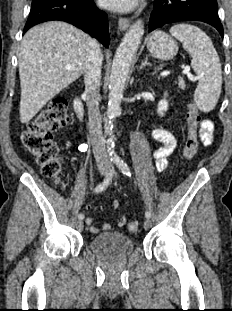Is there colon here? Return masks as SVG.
<instances>
[{"label": "colon", "mask_w": 232, "mask_h": 311, "mask_svg": "<svg viewBox=\"0 0 232 311\" xmlns=\"http://www.w3.org/2000/svg\"><path fill=\"white\" fill-rule=\"evenodd\" d=\"M68 121L66 99L64 97H55L28 123L21 135L23 145L41 167L43 175L59 184L63 181L61 157L52 133L67 125ZM186 122L188 132L182 157L184 160L190 161L198 150V126L200 123L199 110L192 103L187 108ZM119 224L125 225L131 232L139 230L138 223L135 221L126 222L124 218H120Z\"/></svg>", "instance_id": "5ec220e1"}]
</instances>
